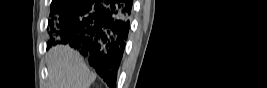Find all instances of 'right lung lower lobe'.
<instances>
[{"mask_svg":"<svg viewBox=\"0 0 267 88\" xmlns=\"http://www.w3.org/2000/svg\"><path fill=\"white\" fill-rule=\"evenodd\" d=\"M132 0H72L49 20L52 44L78 49L112 88L116 85L129 29Z\"/></svg>","mask_w":267,"mask_h":88,"instance_id":"obj_1","label":"right lung lower lobe"}]
</instances>
